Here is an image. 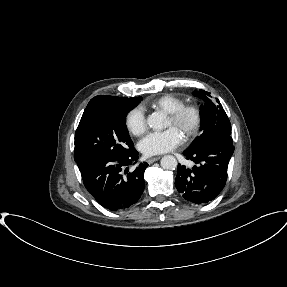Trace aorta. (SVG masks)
<instances>
[{
    "label": "aorta",
    "mask_w": 287,
    "mask_h": 287,
    "mask_svg": "<svg viewBox=\"0 0 287 287\" xmlns=\"http://www.w3.org/2000/svg\"><path fill=\"white\" fill-rule=\"evenodd\" d=\"M150 128L161 130L164 127L163 118L158 113H153L147 120ZM161 167L165 170H175L177 168V160L172 155H166L161 159Z\"/></svg>",
    "instance_id": "obj_1"
}]
</instances>
